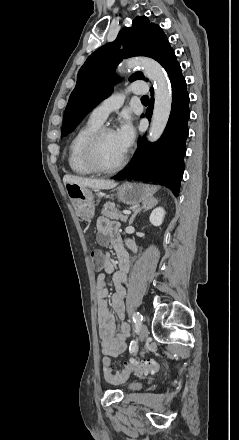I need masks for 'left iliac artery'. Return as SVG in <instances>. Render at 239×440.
Masks as SVG:
<instances>
[{
	"label": "left iliac artery",
	"instance_id": "44dca946",
	"mask_svg": "<svg viewBox=\"0 0 239 440\" xmlns=\"http://www.w3.org/2000/svg\"><path fill=\"white\" fill-rule=\"evenodd\" d=\"M132 318H133V321L135 323H141L142 320H143V316L139 312H134L133 315H132ZM136 346H137L136 345V341L132 340L131 343H130V348H129L130 353H134L135 352Z\"/></svg>",
	"mask_w": 239,
	"mask_h": 440
}]
</instances>
